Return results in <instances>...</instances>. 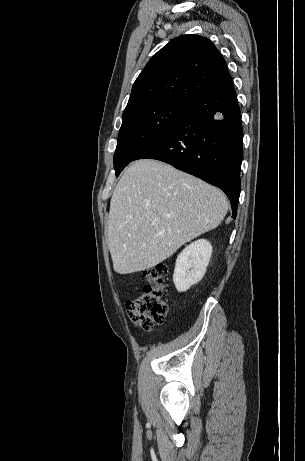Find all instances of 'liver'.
Returning a JSON list of instances; mask_svg holds the SVG:
<instances>
[{"label": "liver", "mask_w": 305, "mask_h": 461, "mask_svg": "<svg viewBox=\"0 0 305 461\" xmlns=\"http://www.w3.org/2000/svg\"><path fill=\"white\" fill-rule=\"evenodd\" d=\"M227 211V198L218 188L163 162L135 161L110 202L107 236L115 272L156 266L219 226Z\"/></svg>", "instance_id": "6515ba94"}]
</instances>
